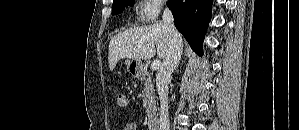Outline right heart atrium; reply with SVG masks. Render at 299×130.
Returning <instances> with one entry per match:
<instances>
[{"label": "right heart atrium", "instance_id": "1", "mask_svg": "<svg viewBox=\"0 0 299 130\" xmlns=\"http://www.w3.org/2000/svg\"><path fill=\"white\" fill-rule=\"evenodd\" d=\"M164 1L162 0H145L142 2L140 14L144 21H153L160 13Z\"/></svg>", "mask_w": 299, "mask_h": 130}]
</instances>
